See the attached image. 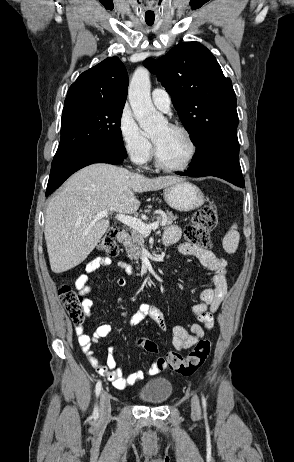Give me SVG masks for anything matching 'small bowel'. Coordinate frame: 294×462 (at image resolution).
I'll use <instances>...</instances> for the list:
<instances>
[{
  "label": "small bowel",
  "instance_id": "obj_1",
  "mask_svg": "<svg viewBox=\"0 0 294 462\" xmlns=\"http://www.w3.org/2000/svg\"><path fill=\"white\" fill-rule=\"evenodd\" d=\"M181 236V230L178 226L168 227L163 236L164 245L170 246L177 244ZM178 250L183 255H192L200 259L202 264L212 272L213 287L204 289L200 293V302L192 308L194 315L201 324H192L189 329L176 325L173 327L172 344L178 351L186 350L195 345L203 337L204 331L210 329L213 325V313L219 308L227 294V262L216 257L210 251H202L189 242L178 244ZM114 262L110 257H97L87 263L85 272L77 277L75 286L81 296H87L91 293L89 285V275L93 274L102 267H108ZM116 265L130 272L129 267L122 263L116 262ZM117 283L120 286L125 285V279L120 278ZM93 301L89 298L84 299V310L90 315ZM146 318H150L162 330L166 329L165 317L162 310L154 304L142 303L137 311L128 319V326L140 325ZM78 337V343L83 353L88 359L92 368L100 375L106 377L115 388L123 389L140 381L144 373L135 371L125 375L121 367L117 366V360L114 354L115 346L108 348V354L105 363L101 362L94 355L92 345L98 343L101 339L107 337L112 332V326L109 323H101L97 326L94 333L90 336L86 333L83 325L75 328ZM163 370L158 364V360L152 363L147 369L148 375H156Z\"/></svg>",
  "mask_w": 294,
  "mask_h": 462
}]
</instances>
